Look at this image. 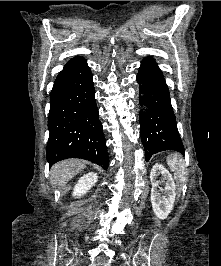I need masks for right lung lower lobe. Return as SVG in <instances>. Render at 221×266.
<instances>
[{
  "mask_svg": "<svg viewBox=\"0 0 221 266\" xmlns=\"http://www.w3.org/2000/svg\"><path fill=\"white\" fill-rule=\"evenodd\" d=\"M48 129L46 154L50 165L67 158H82L103 168L109 165L93 77L85 59L64 68L56 77Z\"/></svg>",
  "mask_w": 221,
  "mask_h": 266,
  "instance_id": "obj_1",
  "label": "right lung lower lobe"
}]
</instances>
